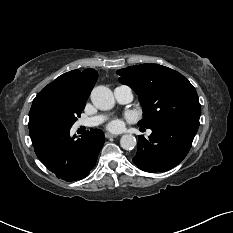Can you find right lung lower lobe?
<instances>
[{"mask_svg": "<svg viewBox=\"0 0 233 233\" xmlns=\"http://www.w3.org/2000/svg\"><path fill=\"white\" fill-rule=\"evenodd\" d=\"M29 130L38 159L58 178L69 182L88 176L105 142L99 129H91L77 140L75 135L70 137V128L36 126Z\"/></svg>", "mask_w": 233, "mask_h": 233, "instance_id": "1", "label": "right lung lower lobe"}]
</instances>
